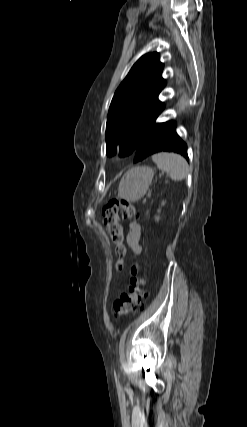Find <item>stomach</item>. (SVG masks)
Here are the masks:
<instances>
[{"label": "stomach", "mask_w": 247, "mask_h": 427, "mask_svg": "<svg viewBox=\"0 0 247 427\" xmlns=\"http://www.w3.org/2000/svg\"><path fill=\"white\" fill-rule=\"evenodd\" d=\"M153 176V169L147 166L128 170L119 183L118 196L129 202L139 201L147 193Z\"/></svg>", "instance_id": "1"}]
</instances>
